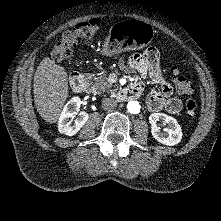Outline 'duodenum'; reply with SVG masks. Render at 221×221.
I'll return each instance as SVG.
<instances>
[{
    "label": "duodenum",
    "instance_id": "obj_1",
    "mask_svg": "<svg viewBox=\"0 0 221 221\" xmlns=\"http://www.w3.org/2000/svg\"><path fill=\"white\" fill-rule=\"evenodd\" d=\"M69 84L70 87L78 93H83L87 89V81L82 73H73L70 78H69ZM141 94V86L139 85H132L129 87H126L122 92H121V97L124 100H131L134 98L139 97Z\"/></svg>",
    "mask_w": 221,
    "mask_h": 221
}]
</instances>
